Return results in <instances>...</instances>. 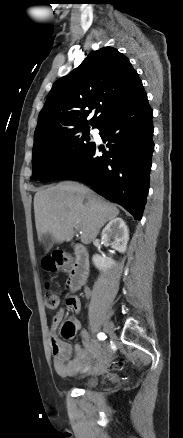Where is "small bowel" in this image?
I'll list each match as a JSON object with an SVG mask.
<instances>
[{"label": "small bowel", "mask_w": 183, "mask_h": 438, "mask_svg": "<svg viewBox=\"0 0 183 438\" xmlns=\"http://www.w3.org/2000/svg\"><path fill=\"white\" fill-rule=\"evenodd\" d=\"M68 305L73 312L78 313L80 311L81 303L79 299H69ZM63 318L64 311L60 310L52 319L50 333L53 366L56 373L62 378L76 376L83 368L88 366L91 359L96 358L98 363L92 367L90 373L92 375L104 374L108 369L109 361L107 347L101 346L96 341L90 339L85 332H82L84 347L75 345L72 348L68 342L60 339L56 332ZM68 321L74 324L76 331L80 329L81 324L78 319L71 318Z\"/></svg>", "instance_id": "small-bowel-1"}]
</instances>
